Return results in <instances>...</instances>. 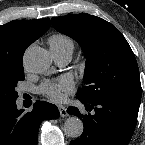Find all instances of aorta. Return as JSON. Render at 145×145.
<instances>
[{"label":"aorta","instance_id":"aorta-1","mask_svg":"<svg viewBox=\"0 0 145 145\" xmlns=\"http://www.w3.org/2000/svg\"><path fill=\"white\" fill-rule=\"evenodd\" d=\"M23 60L27 69L35 73L47 71L52 63L50 53L41 47L27 49ZM83 130V122L78 117L71 116L64 123V132L68 137L79 138Z\"/></svg>","mask_w":145,"mask_h":145}]
</instances>
